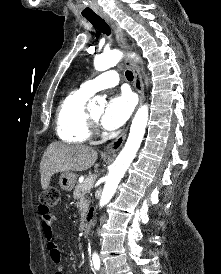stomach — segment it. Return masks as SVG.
Instances as JSON below:
<instances>
[{"label": "stomach", "mask_w": 221, "mask_h": 274, "mask_svg": "<svg viewBox=\"0 0 221 274\" xmlns=\"http://www.w3.org/2000/svg\"><path fill=\"white\" fill-rule=\"evenodd\" d=\"M76 182V174L73 172H64L60 176V187L65 191H71Z\"/></svg>", "instance_id": "obj_1"}]
</instances>
